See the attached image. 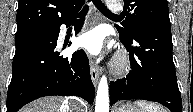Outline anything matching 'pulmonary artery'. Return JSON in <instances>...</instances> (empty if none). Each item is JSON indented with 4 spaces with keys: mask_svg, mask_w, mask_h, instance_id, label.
<instances>
[{
    "mask_svg": "<svg viewBox=\"0 0 193 112\" xmlns=\"http://www.w3.org/2000/svg\"><path fill=\"white\" fill-rule=\"evenodd\" d=\"M108 7L112 12H119L120 11V6L118 3L114 2V1H110L108 3Z\"/></svg>",
    "mask_w": 193,
    "mask_h": 112,
    "instance_id": "obj_1",
    "label": "pulmonary artery"
}]
</instances>
